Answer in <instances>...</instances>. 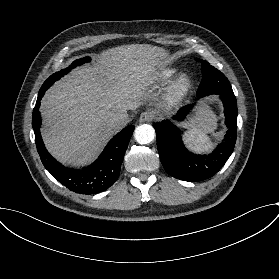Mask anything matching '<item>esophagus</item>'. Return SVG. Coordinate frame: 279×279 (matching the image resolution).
Wrapping results in <instances>:
<instances>
[{
	"label": "esophagus",
	"mask_w": 279,
	"mask_h": 279,
	"mask_svg": "<svg viewBox=\"0 0 279 279\" xmlns=\"http://www.w3.org/2000/svg\"><path fill=\"white\" fill-rule=\"evenodd\" d=\"M155 118V115L153 112H143L141 113L139 117L140 122H150Z\"/></svg>",
	"instance_id": "esophagus-1"
}]
</instances>
